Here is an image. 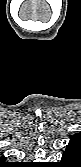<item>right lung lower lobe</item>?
Returning a JSON list of instances; mask_svg holds the SVG:
<instances>
[{"label":"right lung lower lobe","mask_w":81,"mask_h":167,"mask_svg":"<svg viewBox=\"0 0 81 167\" xmlns=\"http://www.w3.org/2000/svg\"><path fill=\"white\" fill-rule=\"evenodd\" d=\"M7 166L8 167H13V166H17V165L9 163V164H7Z\"/></svg>","instance_id":"right-lung-lower-lobe-1"}]
</instances>
